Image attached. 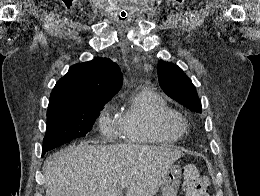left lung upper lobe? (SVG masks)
Returning <instances> with one entry per match:
<instances>
[{
	"label": "left lung upper lobe",
	"mask_w": 260,
	"mask_h": 196,
	"mask_svg": "<svg viewBox=\"0 0 260 196\" xmlns=\"http://www.w3.org/2000/svg\"><path fill=\"white\" fill-rule=\"evenodd\" d=\"M157 72L160 86L166 95L195 112H202L195 86L178 66L160 60Z\"/></svg>",
	"instance_id": "5c2ea615"
}]
</instances>
